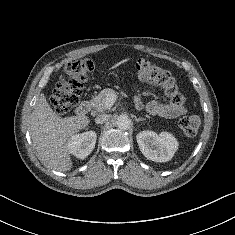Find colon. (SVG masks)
I'll use <instances>...</instances> for the list:
<instances>
[{
	"instance_id": "5ec220e1",
	"label": "colon",
	"mask_w": 235,
	"mask_h": 235,
	"mask_svg": "<svg viewBox=\"0 0 235 235\" xmlns=\"http://www.w3.org/2000/svg\"><path fill=\"white\" fill-rule=\"evenodd\" d=\"M94 69V63L89 58H81L68 62L64 66L67 78H62L53 91L50 102L57 114H65L74 107L82 94L83 83ZM135 73L140 80L159 87L174 104H183V96L178 91L172 75L153 63L140 59L135 65ZM183 133L189 137L195 136L200 127L197 115H185L179 121Z\"/></svg>"
}]
</instances>
